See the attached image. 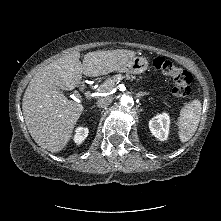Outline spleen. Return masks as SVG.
<instances>
[{"instance_id": "obj_1", "label": "spleen", "mask_w": 221, "mask_h": 221, "mask_svg": "<svg viewBox=\"0 0 221 221\" xmlns=\"http://www.w3.org/2000/svg\"><path fill=\"white\" fill-rule=\"evenodd\" d=\"M201 110L202 104L198 98L186 103L181 108L176 123L180 142H187L195 134L200 121Z\"/></svg>"}]
</instances>
